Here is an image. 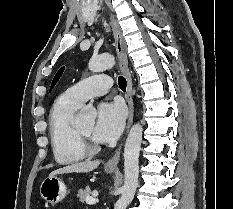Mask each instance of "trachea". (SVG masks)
Returning <instances> with one entry per match:
<instances>
[{
  "label": "trachea",
  "instance_id": "1",
  "mask_svg": "<svg viewBox=\"0 0 233 209\" xmlns=\"http://www.w3.org/2000/svg\"><path fill=\"white\" fill-rule=\"evenodd\" d=\"M118 85H119L120 89L123 92L126 91L127 82H126V79L123 76H119V78H118Z\"/></svg>",
  "mask_w": 233,
  "mask_h": 209
}]
</instances>
